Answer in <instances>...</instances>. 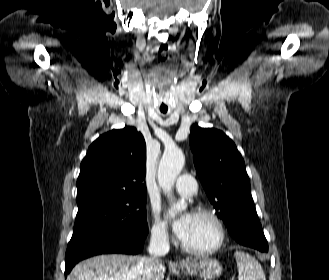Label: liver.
Returning a JSON list of instances; mask_svg holds the SVG:
<instances>
[{
  "label": "liver",
  "instance_id": "1",
  "mask_svg": "<svg viewBox=\"0 0 329 280\" xmlns=\"http://www.w3.org/2000/svg\"><path fill=\"white\" fill-rule=\"evenodd\" d=\"M141 257L100 255L82 261L74 267L67 280H143ZM165 266L152 272L151 280H163Z\"/></svg>",
  "mask_w": 329,
  "mask_h": 280
}]
</instances>
